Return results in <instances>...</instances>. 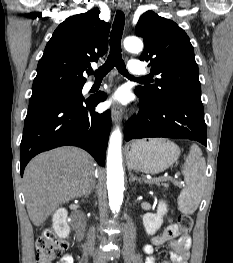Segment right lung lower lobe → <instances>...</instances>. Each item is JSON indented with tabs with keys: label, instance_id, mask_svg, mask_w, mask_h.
<instances>
[{
	"label": "right lung lower lobe",
	"instance_id": "98d812e1",
	"mask_svg": "<svg viewBox=\"0 0 233 263\" xmlns=\"http://www.w3.org/2000/svg\"><path fill=\"white\" fill-rule=\"evenodd\" d=\"M105 99L106 95L88 99L60 96L29 104L20 144L21 176L35 155L64 145L85 149L104 166L111 112L97 113L94 109Z\"/></svg>",
	"mask_w": 233,
	"mask_h": 263
}]
</instances>
